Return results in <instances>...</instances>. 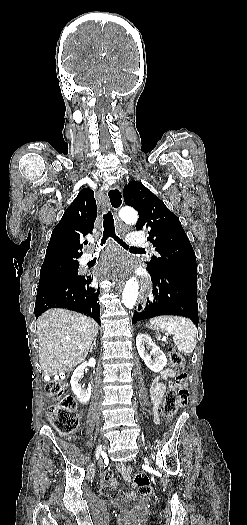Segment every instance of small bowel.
<instances>
[{"mask_svg": "<svg viewBox=\"0 0 247 525\" xmlns=\"http://www.w3.org/2000/svg\"><path fill=\"white\" fill-rule=\"evenodd\" d=\"M177 373L174 369H165L163 370L159 377L156 378L153 388L151 390V399L153 402V405L155 407V410L159 408V405L161 403V400L164 396V393L166 391V385L164 383V380L168 378H174L176 377ZM116 468L119 472L122 473L123 477L128 480L130 473L132 472V468L130 466L125 465L123 462H117ZM114 474H116V469H111V472H108L105 474L103 482H99V485H103V487L107 488L102 491V494L104 496H107L110 492L112 495V502L114 504H123L125 502V495L127 497H132L133 492L127 491L125 495L123 493H118L120 490V482L119 480L115 479Z\"/></svg>", "mask_w": 247, "mask_h": 525, "instance_id": "1", "label": "small bowel"}]
</instances>
